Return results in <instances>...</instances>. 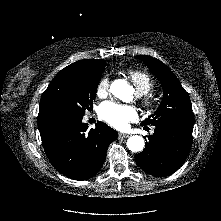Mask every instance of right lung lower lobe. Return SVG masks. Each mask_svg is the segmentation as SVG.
<instances>
[{"label":"right lung lower lobe","instance_id":"right-lung-lower-lobe-1","mask_svg":"<svg viewBox=\"0 0 221 221\" xmlns=\"http://www.w3.org/2000/svg\"><path fill=\"white\" fill-rule=\"evenodd\" d=\"M83 117L62 120L40 129L45 153L52 166L74 180H86L102 167L109 144L118 133L98 121L88 130Z\"/></svg>","mask_w":221,"mask_h":221}]
</instances>
